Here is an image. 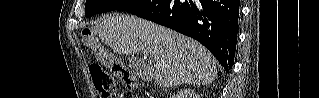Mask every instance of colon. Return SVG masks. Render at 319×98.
<instances>
[{"label": "colon", "instance_id": "1", "mask_svg": "<svg viewBox=\"0 0 319 98\" xmlns=\"http://www.w3.org/2000/svg\"><path fill=\"white\" fill-rule=\"evenodd\" d=\"M82 44L85 49L94 52L97 59L104 62L110 68L112 73V75L106 73L99 66H92L90 68L93 84L101 97L135 98V94L132 92V90L136 89L138 86L136 77L133 76L122 63L115 60L106 49L102 48L97 39L88 29L82 32ZM114 77L120 79L129 89V91L122 94H117Z\"/></svg>", "mask_w": 319, "mask_h": 98}]
</instances>
